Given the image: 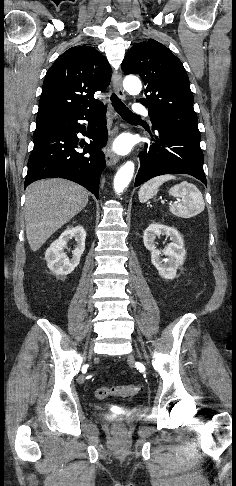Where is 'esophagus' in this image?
<instances>
[{"label": "esophagus", "instance_id": "1", "mask_svg": "<svg viewBox=\"0 0 236 486\" xmlns=\"http://www.w3.org/2000/svg\"><path fill=\"white\" fill-rule=\"evenodd\" d=\"M112 80H113V85L117 96L121 99H125L126 95L122 86L121 73L119 71L114 72L112 76ZM105 159H106L107 166L115 165L119 161V157L110 150L106 152Z\"/></svg>", "mask_w": 236, "mask_h": 486}]
</instances>
